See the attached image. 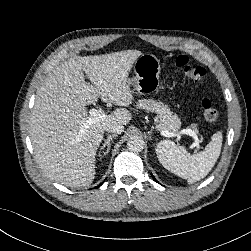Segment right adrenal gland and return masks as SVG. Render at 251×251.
Returning <instances> with one entry per match:
<instances>
[{"mask_svg": "<svg viewBox=\"0 0 251 251\" xmlns=\"http://www.w3.org/2000/svg\"><path fill=\"white\" fill-rule=\"evenodd\" d=\"M115 137H117V134H113V135L108 136L107 140H105L104 143L102 144V147L100 148L101 150H103L107 146V150H106V152H104L103 156L109 152L110 145H111L110 141Z\"/></svg>", "mask_w": 251, "mask_h": 251, "instance_id": "2a0ac1e0", "label": "right adrenal gland"}]
</instances>
